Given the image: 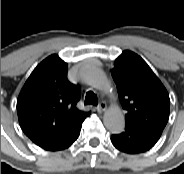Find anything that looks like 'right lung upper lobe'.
Here are the masks:
<instances>
[{
  "instance_id": "obj_1",
  "label": "right lung upper lobe",
  "mask_w": 184,
  "mask_h": 174,
  "mask_svg": "<svg viewBox=\"0 0 184 174\" xmlns=\"http://www.w3.org/2000/svg\"><path fill=\"white\" fill-rule=\"evenodd\" d=\"M79 99V87L67 79V63L49 56L19 94L17 113L23 132L40 147L58 140L90 115L76 108Z\"/></svg>"
}]
</instances>
